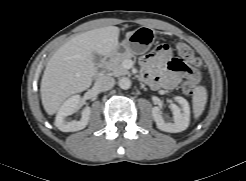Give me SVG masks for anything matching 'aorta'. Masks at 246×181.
Here are the masks:
<instances>
[{
    "instance_id": "762f6f07",
    "label": "aorta",
    "mask_w": 246,
    "mask_h": 181,
    "mask_svg": "<svg viewBox=\"0 0 246 181\" xmlns=\"http://www.w3.org/2000/svg\"><path fill=\"white\" fill-rule=\"evenodd\" d=\"M118 85L121 89L127 90L131 87V81L127 77H122L121 79H119Z\"/></svg>"
}]
</instances>
